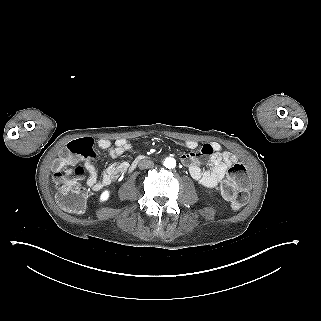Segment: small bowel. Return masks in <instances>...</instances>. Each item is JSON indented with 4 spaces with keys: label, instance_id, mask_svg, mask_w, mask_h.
Wrapping results in <instances>:
<instances>
[{
    "label": "small bowel",
    "instance_id": "c3829d8e",
    "mask_svg": "<svg viewBox=\"0 0 321 321\" xmlns=\"http://www.w3.org/2000/svg\"><path fill=\"white\" fill-rule=\"evenodd\" d=\"M101 149L109 150L111 158L122 156L125 153H134L133 146L126 139H117L112 142L109 139H99L97 141ZM182 144L192 150L181 156L183 164L188 166L191 177L205 187H216L222 180L226 170L236 162V156L230 152L222 151L217 142L203 144L199 150L198 143L194 140H184ZM206 158L209 163L208 168H202L199 162ZM84 166L88 172L87 184L94 191H99L103 187L111 184L128 170L127 162L110 163L105 170L98 176V172L91 158H87Z\"/></svg>",
    "mask_w": 321,
    "mask_h": 321
}]
</instances>
